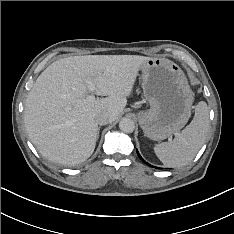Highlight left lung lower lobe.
Returning <instances> with one entry per match:
<instances>
[{
    "label": "left lung lower lobe",
    "instance_id": "1",
    "mask_svg": "<svg viewBox=\"0 0 234 234\" xmlns=\"http://www.w3.org/2000/svg\"><path fill=\"white\" fill-rule=\"evenodd\" d=\"M136 152H137L139 158H140L144 163H146L147 165L153 167L152 165L148 164L147 162H145V161L143 160V158L140 156V154H139V152H138L137 150H136ZM156 168H157V167H156ZM158 169H159V168H158Z\"/></svg>",
    "mask_w": 234,
    "mask_h": 234
}]
</instances>
